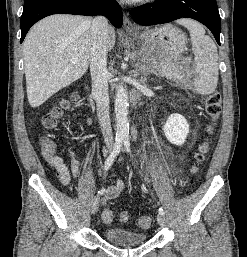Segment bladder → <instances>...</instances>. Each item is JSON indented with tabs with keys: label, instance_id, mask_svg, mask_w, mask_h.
Masks as SVG:
<instances>
[{
	"label": "bladder",
	"instance_id": "31cf9c89",
	"mask_svg": "<svg viewBox=\"0 0 247 257\" xmlns=\"http://www.w3.org/2000/svg\"><path fill=\"white\" fill-rule=\"evenodd\" d=\"M105 240L116 246H134L147 241V234L119 227H110L104 230Z\"/></svg>",
	"mask_w": 247,
	"mask_h": 257
}]
</instances>
